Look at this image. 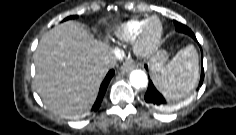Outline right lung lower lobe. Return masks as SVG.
I'll return each instance as SVG.
<instances>
[{
  "label": "right lung lower lobe",
  "mask_w": 236,
  "mask_h": 135,
  "mask_svg": "<svg viewBox=\"0 0 236 135\" xmlns=\"http://www.w3.org/2000/svg\"><path fill=\"white\" fill-rule=\"evenodd\" d=\"M113 75H114V70H110L108 72V74L106 75L104 81L101 84L97 100H96V102L94 103V105L92 107V111H96L100 107L102 99H103L104 94L106 92V89L108 87V84H109V82H110Z\"/></svg>",
  "instance_id": "1"
}]
</instances>
